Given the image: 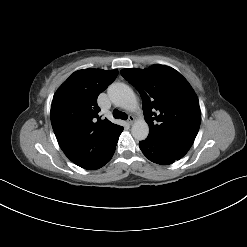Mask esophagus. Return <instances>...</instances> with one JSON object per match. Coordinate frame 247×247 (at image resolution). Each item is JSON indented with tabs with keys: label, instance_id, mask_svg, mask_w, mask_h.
<instances>
[{
	"label": "esophagus",
	"instance_id": "34e87169",
	"mask_svg": "<svg viewBox=\"0 0 247 247\" xmlns=\"http://www.w3.org/2000/svg\"><path fill=\"white\" fill-rule=\"evenodd\" d=\"M134 121H135V118H134L133 116H129L127 122H128L130 125H132V124L134 123Z\"/></svg>",
	"mask_w": 247,
	"mask_h": 247
}]
</instances>
